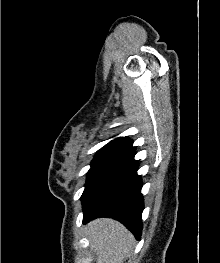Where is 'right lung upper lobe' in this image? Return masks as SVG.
<instances>
[{"label":"right lung upper lobe","instance_id":"1","mask_svg":"<svg viewBox=\"0 0 220 263\" xmlns=\"http://www.w3.org/2000/svg\"><path fill=\"white\" fill-rule=\"evenodd\" d=\"M132 144L133 142L130 141L128 137H120L106 144L98 152L112 153L116 155L120 152L132 148Z\"/></svg>","mask_w":220,"mask_h":263}]
</instances>
